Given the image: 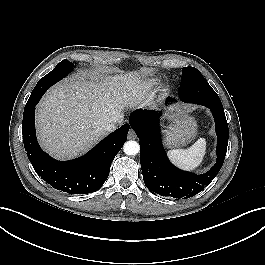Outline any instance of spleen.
I'll return each instance as SVG.
<instances>
[{
    "instance_id": "obj_1",
    "label": "spleen",
    "mask_w": 265,
    "mask_h": 265,
    "mask_svg": "<svg viewBox=\"0 0 265 265\" xmlns=\"http://www.w3.org/2000/svg\"><path fill=\"white\" fill-rule=\"evenodd\" d=\"M205 153L206 140L200 138L188 149L169 150L168 156L177 166L186 170H194L203 161Z\"/></svg>"
}]
</instances>
